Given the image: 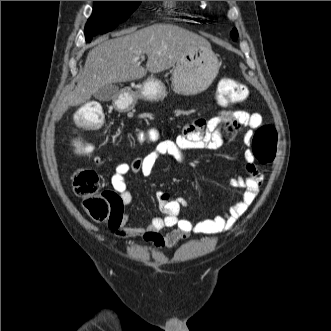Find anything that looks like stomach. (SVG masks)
<instances>
[{
	"label": "stomach",
	"instance_id": "1",
	"mask_svg": "<svg viewBox=\"0 0 331 331\" xmlns=\"http://www.w3.org/2000/svg\"><path fill=\"white\" fill-rule=\"evenodd\" d=\"M220 63L210 44L198 45L186 52L176 63L172 74L174 91L182 95H195L206 90L218 74ZM167 95L162 82L148 78L139 94L124 92L115 102L119 111L134 108L138 97L158 101Z\"/></svg>",
	"mask_w": 331,
	"mask_h": 331
}]
</instances>
